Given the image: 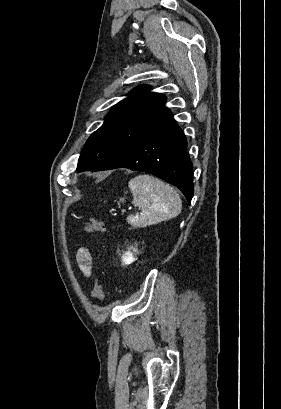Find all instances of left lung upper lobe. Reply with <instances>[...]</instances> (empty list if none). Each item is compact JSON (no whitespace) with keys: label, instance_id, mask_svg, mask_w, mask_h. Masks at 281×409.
<instances>
[{"label":"left lung upper lobe","instance_id":"1","mask_svg":"<svg viewBox=\"0 0 281 409\" xmlns=\"http://www.w3.org/2000/svg\"><path fill=\"white\" fill-rule=\"evenodd\" d=\"M139 86L111 109L104 124L87 140L77 171H98L122 151L155 132L173 118L166 97Z\"/></svg>","mask_w":281,"mask_h":409}]
</instances>
